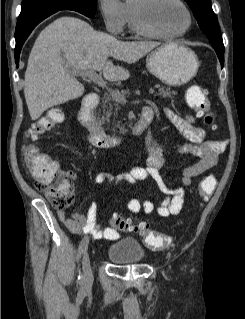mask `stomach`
<instances>
[{
	"label": "stomach",
	"instance_id": "0dacf381",
	"mask_svg": "<svg viewBox=\"0 0 245 319\" xmlns=\"http://www.w3.org/2000/svg\"><path fill=\"white\" fill-rule=\"evenodd\" d=\"M146 67L167 85L179 86L196 75L199 62L190 48L172 42L152 51L147 56Z\"/></svg>",
	"mask_w": 245,
	"mask_h": 319
}]
</instances>
